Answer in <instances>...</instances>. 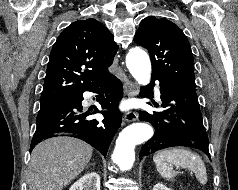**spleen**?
<instances>
[{
    "label": "spleen",
    "instance_id": "spleen-1",
    "mask_svg": "<svg viewBox=\"0 0 238 190\" xmlns=\"http://www.w3.org/2000/svg\"><path fill=\"white\" fill-rule=\"evenodd\" d=\"M156 169L159 174L167 180H172L176 172L173 165L186 168L194 172L197 180L205 185L207 183V173L201 157L184 148H170L159 151L153 157Z\"/></svg>",
    "mask_w": 238,
    "mask_h": 190
}]
</instances>
